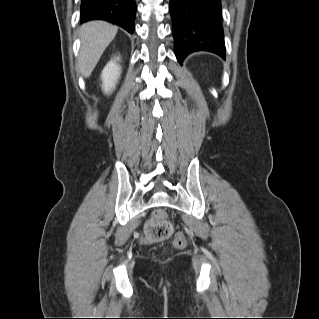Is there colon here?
Returning <instances> with one entry per match:
<instances>
[{
    "instance_id": "1",
    "label": "colon",
    "mask_w": 319,
    "mask_h": 319,
    "mask_svg": "<svg viewBox=\"0 0 319 319\" xmlns=\"http://www.w3.org/2000/svg\"><path fill=\"white\" fill-rule=\"evenodd\" d=\"M146 230L149 239L156 243L166 241L173 235V225L162 212L156 213L149 219L146 224ZM172 243L177 248H184L186 246V238L182 233H177Z\"/></svg>"
}]
</instances>
